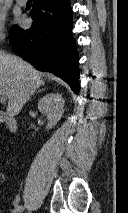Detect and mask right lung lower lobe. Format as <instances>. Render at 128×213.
Wrapping results in <instances>:
<instances>
[{"instance_id": "right-lung-lower-lobe-1", "label": "right lung lower lobe", "mask_w": 128, "mask_h": 213, "mask_svg": "<svg viewBox=\"0 0 128 213\" xmlns=\"http://www.w3.org/2000/svg\"><path fill=\"white\" fill-rule=\"evenodd\" d=\"M29 30L10 33L12 48L40 70L54 72L79 93V55L72 35L70 0H34Z\"/></svg>"}]
</instances>
